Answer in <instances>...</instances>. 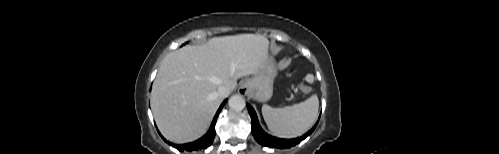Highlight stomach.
<instances>
[{
    "label": "stomach",
    "instance_id": "1",
    "mask_svg": "<svg viewBox=\"0 0 499 154\" xmlns=\"http://www.w3.org/2000/svg\"><path fill=\"white\" fill-rule=\"evenodd\" d=\"M277 75V68L273 60L267 59L260 72L245 81L244 87L248 94L260 101H268L273 94V82Z\"/></svg>",
    "mask_w": 499,
    "mask_h": 154
}]
</instances>
